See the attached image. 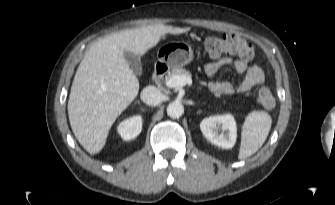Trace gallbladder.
Segmentation results:
<instances>
[{"mask_svg":"<svg viewBox=\"0 0 335 205\" xmlns=\"http://www.w3.org/2000/svg\"><path fill=\"white\" fill-rule=\"evenodd\" d=\"M124 57L128 65L134 72V74L141 75L142 74V64H141L140 58L132 52H125Z\"/></svg>","mask_w":335,"mask_h":205,"instance_id":"1","label":"gallbladder"}]
</instances>
